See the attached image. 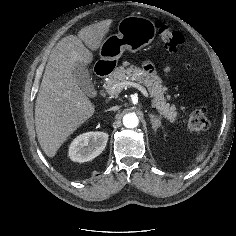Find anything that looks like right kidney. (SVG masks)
Masks as SVG:
<instances>
[{"instance_id": "ca27d5eb", "label": "right kidney", "mask_w": 236, "mask_h": 236, "mask_svg": "<svg viewBox=\"0 0 236 236\" xmlns=\"http://www.w3.org/2000/svg\"><path fill=\"white\" fill-rule=\"evenodd\" d=\"M108 134L87 132L76 137L69 147L72 161L83 163L96 158L106 147Z\"/></svg>"}]
</instances>
